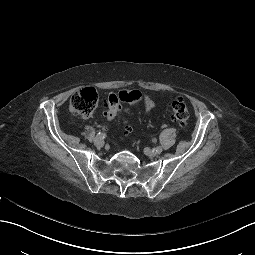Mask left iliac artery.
Listing matches in <instances>:
<instances>
[{
    "mask_svg": "<svg viewBox=\"0 0 255 255\" xmlns=\"http://www.w3.org/2000/svg\"><path fill=\"white\" fill-rule=\"evenodd\" d=\"M154 151L157 153V154H160L162 152V147L161 146H158L154 149Z\"/></svg>",
    "mask_w": 255,
    "mask_h": 255,
    "instance_id": "1",
    "label": "left iliac artery"
}]
</instances>
